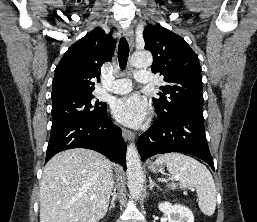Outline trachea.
<instances>
[{
	"label": "trachea",
	"mask_w": 257,
	"mask_h": 222,
	"mask_svg": "<svg viewBox=\"0 0 257 222\" xmlns=\"http://www.w3.org/2000/svg\"><path fill=\"white\" fill-rule=\"evenodd\" d=\"M129 56V45L127 40L122 37L118 45V60L121 69H125L127 66Z\"/></svg>",
	"instance_id": "trachea-1"
}]
</instances>
